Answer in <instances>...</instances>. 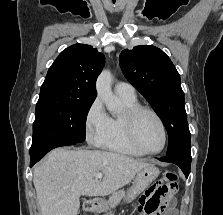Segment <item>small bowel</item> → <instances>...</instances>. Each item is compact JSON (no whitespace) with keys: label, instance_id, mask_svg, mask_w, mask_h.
Returning <instances> with one entry per match:
<instances>
[{"label":"small bowel","instance_id":"obj_1","mask_svg":"<svg viewBox=\"0 0 223 215\" xmlns=\"http://www.w3.org/2000/svg\"><path fill=\"white\" fill-rule=\"evenodd\" d=\"M176 186L156 182L150 186L139 200L138 211L143 215H160L166 209L165 215H176L174 194ZM153 205L159 206L160 211H153Z\"/></svg>","mask_w":223,"mask_h":215}]
</instances>
